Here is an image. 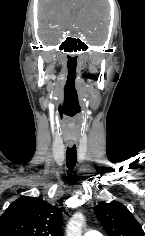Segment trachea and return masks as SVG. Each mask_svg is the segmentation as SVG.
Instances as JSON below:
<instances>
[{
  "instance_id": "trachea-1",
  "label": "trachea",
  "mask_w": 145,
  "mask_h": 236,
  "mask_svg": "<svg viewBox=\"0 0 145 236\" xmlns=\"http://www.w3.org/2000/svg\"><path fill=\"white\" fill-rule=\"evenodd\" d=\"M77 162V151L76 146L73 145L71 148H67L66 151V164L70 171H72Z\"/></svg>"
}]
</instances>
